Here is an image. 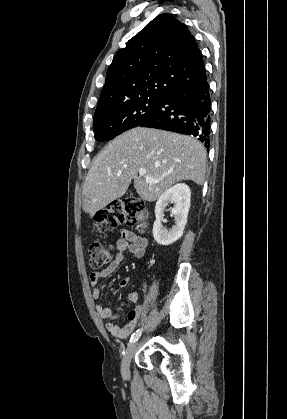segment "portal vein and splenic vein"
<instances>
[{
    "label": "portal vein and splenic vein",
    "instance_id": "18ae733b",
    "mask_svg": "<svg viewBox=\"0 0 287 419\" xmlns=\"http://www.w3.org/2000/svg\"><path fill=\"white\" fill-rule=\"evenodd\" d=\"M139 175L140 176H145L146 175V170H144V169L139 170ZM145 178H146V181H148V182H155V180L153 178L149 177V176H146Z\"/></svg>",
    "mask_w": 287,
    "mask_h": 419
}]
</instances>
